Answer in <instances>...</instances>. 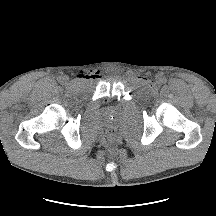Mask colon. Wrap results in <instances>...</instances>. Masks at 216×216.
<instances>
[{
    "label": "colon",
    "instance_id": "obj_1",
    "mask_svg": "<svg viewBox=\"0 0 216 216\" xmlns=\"http://www.w3.org/2000/svg\"><path fill=\"white\" fill-rule=\"evenodd\" d=\"M108 138L110 141H114L116 139V133L113 130L109 131Z\"/></svg>",
    "mask_w": 216,
    "mask_h": 216
}]
</instances>
